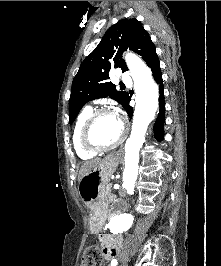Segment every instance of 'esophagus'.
Masks as SVG:
<instances>
[{"label":"esophagus","mask_w":221,"mask_h":266,"mask_svg":"<svg viewBox=\"0 0 221 266\" xmlns=\"http://www.w3.org/2000/svg\"><path fill=\"white\" fill-rule=\"evenodd\" d=\"M122 152H123V150L121 149V150H120V153H122Z\"/></svg>","instance_id":"obj_1"}]
</instances>
